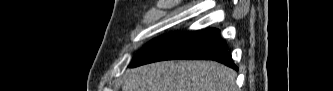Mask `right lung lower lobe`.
<instances>
[{
	"mask_svg": "<svg viewBox=\"0 0 333 91\" xmlns=\"http://www.w3.org/2000/svg\"><path fill=\"white\" fill-rule=\"evenodd\" d=\"M218 33L219 30L215 28L187 33L175 32L130 67L162 60L205 59L218 61L237 70L226 43Z\"/></svg>",
	"mask_w": 333,
	"mask_h": 91,
	"instance_id": "right-lung-lower-lobe-1",
	"label": "right lung lower lobe"
}]
</instances>
